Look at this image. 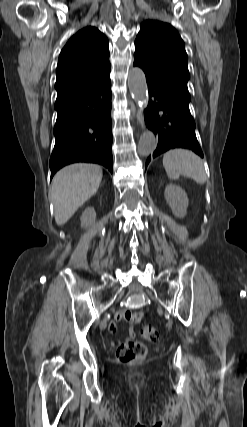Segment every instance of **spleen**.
Wrapping results in <instances>:
<instances>
[{
	"mask_svg": "<svg viewBox=\"0 0 247 427\" xmlns=\"http://www.w3.org/2000/svg\"><path fill=\"white\" fill-rule=\"evenodd\" d=\"M163 166L172 180L179 179L180 175L192 178L198 184H204L207 180L202 160L189 150L173 149L166 152Z\"/></svg>",
	"mask_w": 247,
	"mask_h": 427,
	"instance_id": "1",
	"label": "spleen"
}]
</instances>
